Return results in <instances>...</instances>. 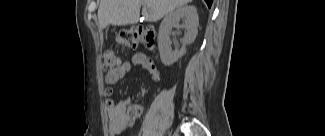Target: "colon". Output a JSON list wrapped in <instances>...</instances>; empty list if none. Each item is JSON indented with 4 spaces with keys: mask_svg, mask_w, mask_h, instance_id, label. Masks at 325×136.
I'll return each mask as SVG.
<instances>
[{
    "mask_svg": "<svg viewBox=\"0 0 325 136\" xmlns=\"http://www.w3.org/2000/svg\"><path fill=\"white\" fill-rule=\"evenodd\" d=\"M117 42L130 50L145 47L152 50L156 46V31L152 26H131L121 30L116 37ZM120 59L113 50H106L103 56V69L110 72L118 67Z\"/></svg>",
    "mask_w": 325,
    "mask_h": 136,
    "instance_id": "obj_1",
    "label": "colon"
}]
</instances>
